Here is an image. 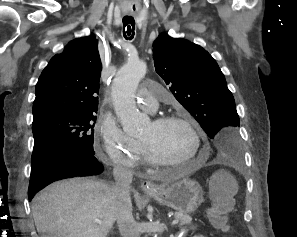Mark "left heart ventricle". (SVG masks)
<instances>
[{"mask_svg":"<svg viewBox=\"0 0 297 237\" xmlns=\"http://www.w3.org/2000/svg\"><path fill=\"white\" fill-rule=\"evenodd\" d=\"M139 141L172 161L185 159L195 151L192 134L184 124L178 122L156 124L150 121L139 136Z\"/></svg>","mask_w":297,"mask_h":237,"instance_id":"b2bd125f","label":"left heart ventricle"}]
</instances>
